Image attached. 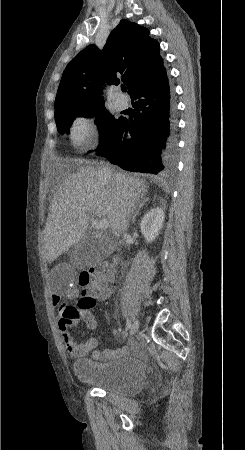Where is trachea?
Returning a JSON list of instances; mask_svg holds the SVG:
<instances>
[{
	"label": "trachea",
	"instance_id": "obj_1",
	"mask_svg": "<svg viewBox=\"0 0 245 450\" xmlns=\"http://www.w3.org/2000/svg\"><path fill=\"white\" fill-rule=\"evenodd\" d=\"M127 88L125 86H122V91L126 92Z\"/></svg>",
	"mask_w": 245,
	"mask_h": 450
}]
</instances>
